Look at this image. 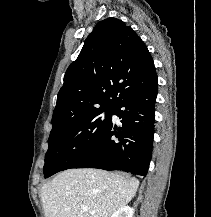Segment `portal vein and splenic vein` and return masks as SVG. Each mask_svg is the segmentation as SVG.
Segmentation results:
<instances>
[{"label": "portal vein and splenic vein", "instance_id": "1", "mask_svg": "<svg viewBox=\"0 0 211 217\" xmlns=\"http://www.w3.org/2000/svg\"><path fill=\"white\" fill-rule=\"evenodd\" d=\"M82 209H83L84 211H87V210H88V208H87L86 206H82Z\"/></svg>", "mask_w": 211, "mask_h": 217}]
</instances>
